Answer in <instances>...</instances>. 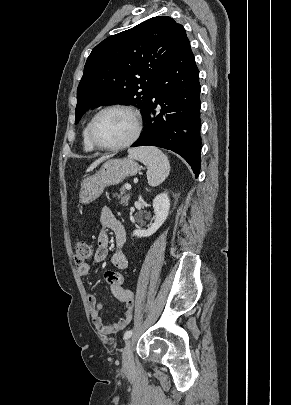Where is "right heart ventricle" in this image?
<instances>
[{"instance_id": "e07e8e85", "label": "right heart ventricle", "mask_w": 291, "mask_h": 405, "mask_svg": "<svg viewBox=\"0 0 291 405\" xmlns=\"http://www.w3.org/2000/svg\"><path fill=\"white\" fill-rule=\"evenodd\" d=\"M87 126L84 127L82 131V146L85 152H93L95 148L90 144L88 137H87Z\"/></svg>"}]
</instances>
